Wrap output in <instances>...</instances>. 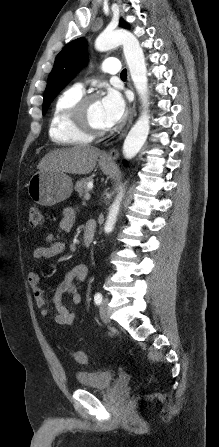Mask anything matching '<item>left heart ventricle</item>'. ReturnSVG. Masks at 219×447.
<instances>
[{
    "label": "left heart ventricle",
    "mask_w": 219,
    "mask_h": 447,
    "mask_svg": "<svg viewBox=\"0 0 219 447\" xmlns=\"http://www.w3.org/2000/svg\"><path fill=\"white\" fill-rule=\"evenodd\" d=\"M90 118L92 123L99 128H107L104 122L103 110L100 101H96L91 105Z\"/></svg>",
    "instance_id": "left-heart-ventricle-1"
}]
</instances>
